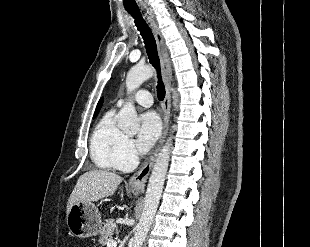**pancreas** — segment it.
<instances>
[{"label":"pancreas","mask_w":310,"mask_h":247,"mask_svg":"<svg viewBox=\"0 0 310 247\" xmlns=\"http://www.w3.org/2000/svg\"><path fill=\"white\" fill-rule=\"evenodd\" d=\"M117 230L118 228L114 223V220H107L106 224H104V227L100 231L99 243L101 244V246H105L109 241H111L112 235H114Z\"/></svg>","instance_id":"pancreas-1"}]
</instances>
